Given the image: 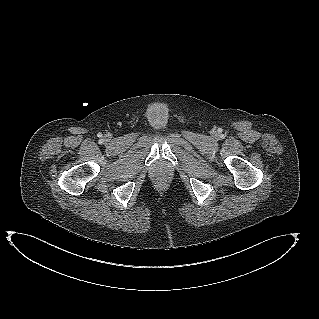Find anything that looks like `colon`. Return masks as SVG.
<instances>
[{"label": "colon", "instance_id": "colon-1", "mask_svg": "<svg viewBox=\"0 0 319 319\" xmlns=\"http://www.w3.org/2000/svg\"><path fill=\"white\" fill-rule=\"evenodd\" d=\"M158 181H159L160 183H164L165 179H164L163 177H160V178L158 179Z\"/></svg>", "mask_w": 319, "mask_h": 319}]
</instances>
